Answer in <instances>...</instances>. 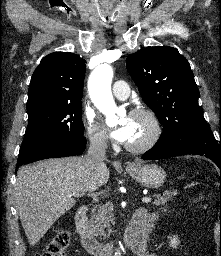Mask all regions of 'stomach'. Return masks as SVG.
<instances>
[{
    "mask_svg": "<svg viewBox=\"0 0 221 256\" xmlns=\"http://www.w3.org/2000/svg\"><path fill=\"white\" fill-rule=\"evenodd\" d=\"M127 172L141 185L153 189L161 187L166 179L164 169L157 165H134Z\"/></svg>",
    "mask_w": 221,
    "mask_h": 256,
    "instance_id": "stomach-1",
    "label": "stomach"
}]
</instances>
